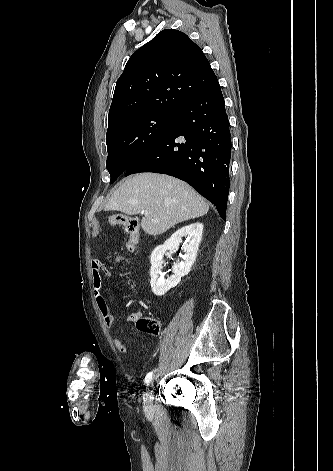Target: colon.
Returning a JSON list of instances; mask_svg holds the SVG:
<instances>
[{
	"label": "colon",
	"instance_id": "5ec220e1",
	"mask_svg": "<svg viewBox=\"0 0 333 471\" xmlns=\"http://www.w3.org/2000/svg\"><path fill=\"white\" fill-rule=\"evenodd\" d=\"M111 226H122L128 239L124 241L123 248L126 252H133L139 240V224L136 219L124 215H114L109 219ZM122 256H117L121 260ZM137 327L150 335L156 336L160 333L159 322L151 317H140L137 320Z\"/></svg>",
	"mask_w": 333,
	"mask_h": 471
}]
</instances>
